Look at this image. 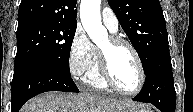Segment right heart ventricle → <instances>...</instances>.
<instances>
[{"label":"right heart ventricle","mask_w":193,"mask_h":112,"mask_svg":"<svg viewBox=\"0 0 193 112\" xmlns=\"http://www.w3.org/2000/svg\"><path fill=\"white\" fill-rule=\"evenodd\" d=\"M85 82L91 87L99 90H107L108 85L103 80L98 62V52L95 50V59L87 74L84 77Z\"/></svg>","instance_id":"obj_1"}]
</instances>
